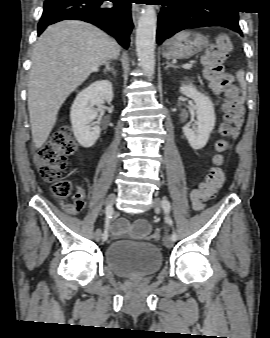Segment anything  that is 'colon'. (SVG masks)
<instances>
[{"instance_id": "colon-1", "label": "colon", "mask_w": 270, "mask_h": 338, "mask_svg": "<svg viewBox=\"0 0 270 338\" xmlns=\"http://www.w3.org/2000/svg\"><path fill=\"white\" fill-rule=\"evenodd\" d=\"M232 51V43L228 36H220L213 43L206 46L201 55L202 75L210 83L211 88L224 96L223 122L220 128L223 139L217 141L216 149L219 153L229 148V139L234 138L241 125L242 108L237 99L236 87L232 84L231 77L225 73L222 63ZM76 149L74 137L61 131L39 148L35 155L37 170L44 181L51 185L54 196L65 199L72 193V185L64 179L68 156ZM217 164L208 173L206 179L191 192V201L194 211L201 212L205 203L214 197L226 179L225 170L220 166L222 158L214 157ZM64 209L72 215L80 213L84 201L76 200L65 204ZM160 233L153 234V239L158 240Z\"/></svg>"}]
</instances>
